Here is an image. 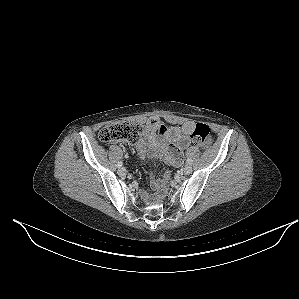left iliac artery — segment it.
<instances>
[{"label":"left iliac artery","instance_id":"left-iliac-artery-1","mask_svg":"<svg viewBox=\"0 0 299 299\" xmlns=\"http://www.w3.org/2000/svg\"><path fill=\"white\" fill-rule=\"evenodd\" d=\"M187 163H188V164H192V160L188 158V159H187Z\"/></svg>","mask_w":299,"mask_h":299}]
</instances>
